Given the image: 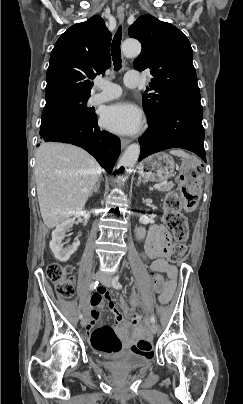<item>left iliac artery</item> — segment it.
Returning <instances> with one entry per match:
<instances>
[{
  "label": "left iliac artery",
  "mask_w": 243,
  "mask_h": 404,
  "mask_svg": "<svg viewBox=\"0 0 243 404\" xmlns=\"http://www.w3.org/2000/svg\"><path fill=\"white\" fill-rule=\"evenodd\" d=\"M119 278H120L119 276H116L112 281V285L116 289H121L122 288V285L119 282ZM150 320H151L152 323L156 322V319H155L154 315H151Z\"/></svg>",
  "instance_id": "left-iliac-artery-1"
}]
</instances>
